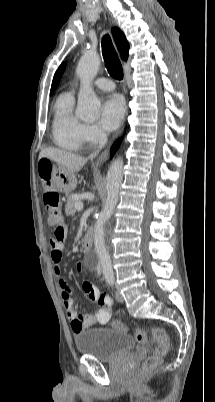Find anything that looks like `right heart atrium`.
I'll list each match as a JSON object with an SVG mask.
<instances>
[{
    "instance_id": "obj_1",
    "label": "right heart atrium",
    "mask_w": 215,
    "mask_h": 402,
    "mask_svg": "<svg viewBox=\"0 0 215 402\" xmlns=\"http://www.w3.org/2000/svg\"><path fill=\"white\" fill-rule=\"evenodd\" d=\"M80 136L83 143L90 145L96 144L104 138L101 129L94 124H82Z\"/></svg>"
}]
</instances>
